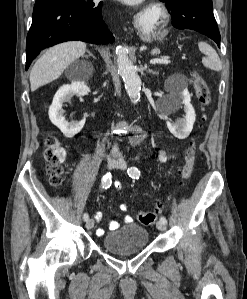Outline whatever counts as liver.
<instances>
[{
  "label": "liver",
  "instance_id": "obj_1",
  "mask_svg": "<svg viewBox=\"0 0 247 299\" xmlns=\"http://www.w3.org/2000/svg\"><path fill=\"white\" fill-rule=\"evenodd\" d=\"M86 44L68 41L49 48L34 64L30 72L31 91L59 78L76 59L83 56Z\"/></svg>",
  "mask_w": 247,
  "mask_h": 299
}]
</instances>
